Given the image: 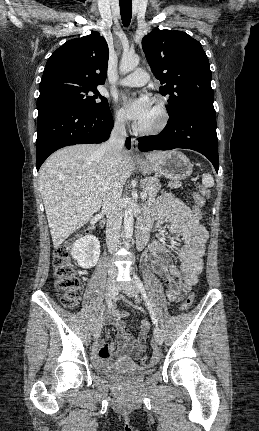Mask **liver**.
<instances>
[{"label":"liver","instance_id":"6515ba94","mask_svg":"<svg viewBox=\"0 0 259 431\" xmlns=\"http://www.w3.org/2000/svg\"><path fill=\"white\" fill-rule=\"evenodd\" d=\"M100 146L79 144L53 153L39 173L40 192L52 236L54 248L73 232L86 224L98 212L106 188L111 183L105 156ZM165 151L146 153L149 161H156ZM133 171L129 152H122L119 178L123 184Z\"/></svg>","mask_w":259,"mask_h":431}]
</instances>
